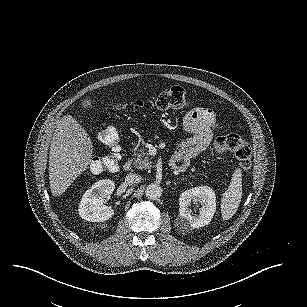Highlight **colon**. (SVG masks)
I'll list each match as a JSON object with an SVG mask.
<instances>
[{
    "mask_svg": "<svg viewBox=\"0 0 307 307\" xmlns=\"http://www.w3.org/2000/svg\"><path fill=\"white\" fill-rule=\"evenodd\" d=\"M138 106H143V101L137 100ZM156 106L161 110L180 109L190 104L185 90L180 86H171L162 90L155 100ZM120 104L119 107H124ZM97 138L103 144L111 149V153L96 157L89 165V169L93 173H101L111 171L117 168L120 152V136L114 127H105L101 129ZM214 150L218 154L233 152L239 161L241 170L248 173L251 168L252 147L250 143L243 140L235 133L219 136L214 143Z\"/></svg>",
    "mask_w": 307,
    "mask_h": 307,
    "instance_id": "obj_1",
    "label": "colon"
}]
</instances>
